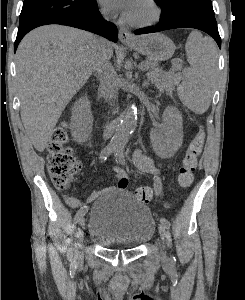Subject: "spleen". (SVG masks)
I'll return each mask as SVG.
<instances>
[{"label":"spleen","instance_id":"1","mask_svg":"<svg viewBox=\"0 0 245 300\" xmlns=\"http://www.w3.org/2000/svg\"><path fill=\"white\" fill-rule=\"evenodd\" d=\"M185 51L191 68L178 87V96L191 111L203 114L209 108L217 70V48L201 33H190Z\"/></svg>","mask_w":245,"mask_h":300}]
</instances>
